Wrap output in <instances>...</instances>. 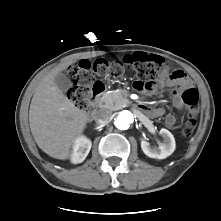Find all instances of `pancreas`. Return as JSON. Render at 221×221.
I'll return each mask as SVG.
<instances>
[{"mask_svg": "<svg viewBox=\"0 0 221 221\" xmlns=\"http://www.w3.org/2000/svg\"><path fill=\"white\" fill-rule=\"evenodd\" d=\"M126 101L121 91H109L103 94L99 100L101 108L116 110L119 109Z\"/></svg>", "mask_w": 221, "mask_h": 221, "instance_id": "1", "label": "pancreas"}]
</instances>
